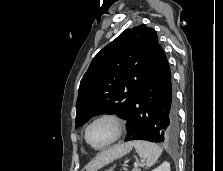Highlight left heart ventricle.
I'll use <instances>...</instances> for the list:
<instances>
[{
  "label": "left heart ventricle",
  "instance_id": "b2bd125f",
  "mask_svg": "<svg viewBox=\"0 0 223 171\" xmlns=\"http://www.w3.org/2000/svg\"><path fill=\"white\" fill-rule=\"evenodd\" d=\"M115 126L111 121L101 120L93 124L88 131V140L94 146H102L115 135Z\"/></svg>",
  "mask_w": 223,
  "mask_h": 171
}]
</instances>
